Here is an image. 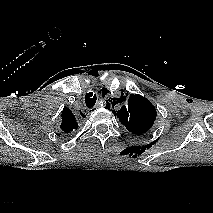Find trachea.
Here are the masks:
<instances>
[{"mask_svg":"<svg viewBox=\"0 0 213 213\" xmlns=\"http://www.w3.org/2000/svg\"><path fill=\"white\" fill-rule=\"evenodd\" d=\"M97 97L92 92H89L85 96V103L88 108H92L96 103Z\"/></svg>","mask_w":213,"mask_h":213,"instance_id":"obj_1","label":"trachea"}]
</instances>
